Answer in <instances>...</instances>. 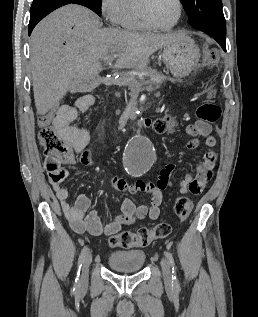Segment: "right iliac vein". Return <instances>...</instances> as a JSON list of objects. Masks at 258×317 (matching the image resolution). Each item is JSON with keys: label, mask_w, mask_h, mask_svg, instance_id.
I'll return each mask as SVG.
<instances>
[{"label": "right iliac vein", "mask_w": 258, "mask_h": 317, "mask_svg": "<svg viewBox=\"0 0 258 317\" xmlns=\"http://www.w3.org/2000/svg\"><path fill=\"white\" fill-rule=\"evenodd\" d=\"M91 251L89 252L88 255L85 256V259L83 261L81 270H82V276L83 277H88L89 276V267L91 265L92 262V256H91Z\"/></svg>", "instance_id": "right-iliac-vein-1"}]
</instances>
